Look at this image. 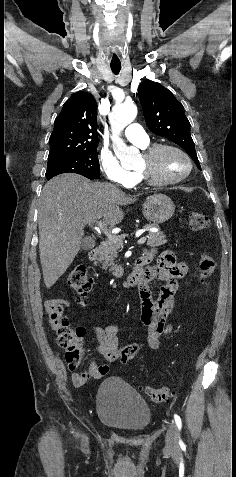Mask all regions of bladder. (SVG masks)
<instances>
[{"mask_svg":"<svg viewBox=\"0 0 236 477\" xmlns=\"http://www.w3.org/2000/svg\"><path fill=\"white\" fill-rule=\"evenodd\" d=\"M96 407L102 423L124 432H142L152 420L148 404L120 377H108L100 383Z\"/></svg>","mask_w":236,"mask_h":477,"instance_id":"1","label":"bladder"}]
</instances>
